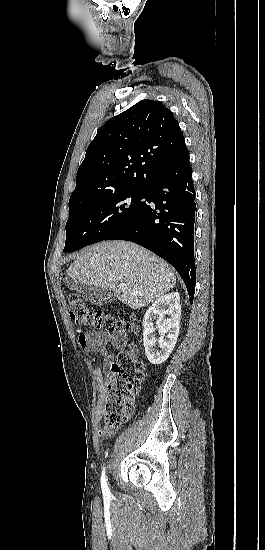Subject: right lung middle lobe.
<instances>
[{"mask_svg":"<svg viewBox=\"0 0 265 550\" xmlns=\"http://www.w3.org/2000/svg\"><path fill=\"white\" fill-rule=\"evenodd\" d=\"M147 198V189H132L91 200L69 201L63 251L71 252L104 240L135 219L145 209Z\"/></svg>","mask_w":265,"mask_h":550,"instance_id":"obj_1","label":"right lung middle lobe"}]
</instances>
